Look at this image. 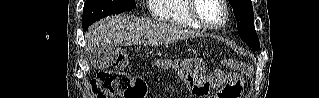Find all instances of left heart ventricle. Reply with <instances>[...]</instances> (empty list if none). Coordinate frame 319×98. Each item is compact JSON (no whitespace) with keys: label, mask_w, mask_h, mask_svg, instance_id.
Returning <instances> with one entry per match:
<instances>
[{"label":"left heart ventricle","mask_w":319,"mask_h":98,"mask_svg":"<svg viewBox=\"0 0 319 98\" xmlns=\"http://www.w3.org/2000/svg\"><path fill=\"white\" fill-rule=\"evenodd\" d=\"M196 10L210 24H218L224 17V10L217 0H199Z\"/></svg>","instance_id":"left-heart-ventricle-1"}]
</instances>
